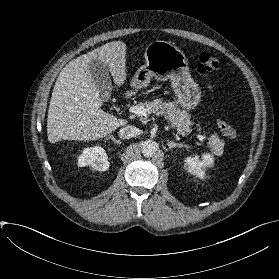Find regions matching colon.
Returning a JSON list of instances; mask_svg holds the SVG:
<instances>
[{"label": "colon", "mask_w": 279, "mask_h": 279, "mask_svg": "<svg viewBox=\"0 0 279 279\" xmlns=\"http://www.w3.org/2000/svg\"><path fill=\"white\" fill-rule=\"evenodd\" d=\"M219 68L218 60L209 53H201L199 56V62L197 66V71L200 74H209L217 71ZM218 127L222 134L230 139L237 137V130L224 118H219L217 121Z\"/></svg>", "instance_id": "1"}]
</instances>
